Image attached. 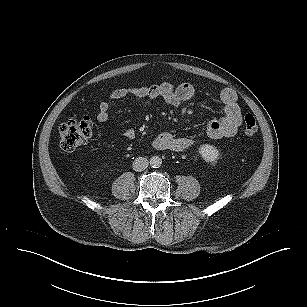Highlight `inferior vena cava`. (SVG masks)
I'll return each mask as SVG.
<instances>
[{
	"label": "inferior vena cava",
	"instance_id": "1",
	"mask_svg": "<svg viewBox=\"0 0 307 307\" xmlns=\"http://www.w3.org/2000/svg\"><path fill=\"white\" fill-rule=\"evenodd\" d=\"M149 165L147 158L138 157L133 162V169L137 172L144 171Z\"/></svg>",
	"mask_w": 307,
	"mask_h": 307
}]
</instances>
